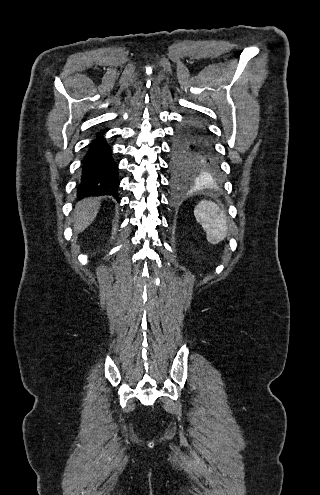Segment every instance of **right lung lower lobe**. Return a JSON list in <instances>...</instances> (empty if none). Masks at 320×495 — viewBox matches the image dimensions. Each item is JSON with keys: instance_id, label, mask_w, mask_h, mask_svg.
Masks as SVG:
<instances>
[{"instance_id": "obj_1", "label": "right lung lower lobe", "mask_w": 320, "mask_h": 495, "mask_svg": "<svg viewBox=\"0 0 320 495\" xmlns=\"http://www.w3.org/2000/svg\"><path fill=\"white\" fill-rule=\"evenodd\" d=\"M99 132L86 147L81 166V180L77 187L79 199L88 196L111 195L118 200V164L112 158V150Z\"/></svg>"}]
</instances>
